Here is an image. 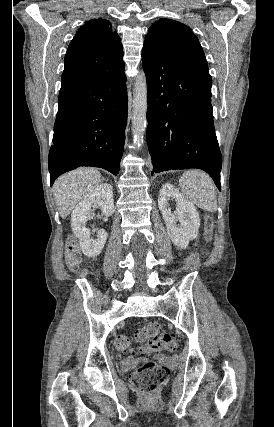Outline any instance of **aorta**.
Instances as JSON below:
<instances>
[{
    "label": "aorta",
    "mask_w": 274,
    "mask_h": 427,
    "mask_svg": "<svg viewBox=\"0 0 274 427\" xmlns=\"http://www.w3.org/2000/svg\"><path fill=\"white\" fill-rule=\"evenodd\" d=\"M133 93L132 134L133 141L138 147L143 142L147 122V82L146 75L141 72L135 79Z\"/></svg>",
    "instance_id": "762f6f07"
}]
</instances>
